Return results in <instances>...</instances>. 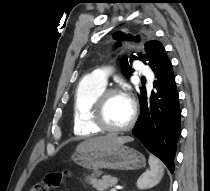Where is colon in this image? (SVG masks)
<instances>
[{
  "label": "colon",
  "instance_id": "5ec220e1",
  "mask_svg": "<svg viewBox=\"0 0 210 191\" xmlns=\"http://www.w3.org/2000/svg\"><path fill=\"white\" fill-rule=\"evenodd\" d=\"M69 175L68 171L49 172L40 182L34 184L30 191H54L64 183Z\"/></svg>",
  "mask_w": 210,
  "mask_h": 191
}]
</instances>
